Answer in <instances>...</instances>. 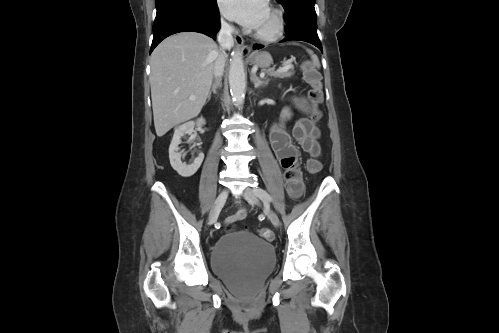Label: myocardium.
Returning <instances> with one entry per match:
<instances>
[{"instance_id":"myocardium-1","label":"myocardium","mask_w":499,"mask_h":333,"mask_svg":"<svg viewBox=\"0 0 499 333\" xmlns=\"http://www.w3.org/2000/svg\"><path fill=\"white\" fill-rule=\"evenodd\" d=\"M268 11L274 19V28L269 32L256 30L254 36L263 42H274L281 38L285 31V16L283 11L276 7H270Z\"/></svg>"}]
</instances>
